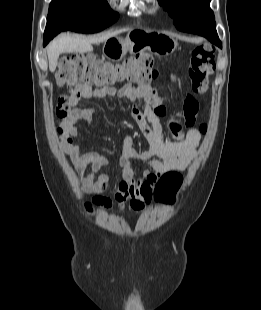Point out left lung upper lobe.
<instances>
[{
    "label": "left lung upper lobe",
    "instance_id": "5c2ea615",
    "mask_svg": "<svg viewBox=\"0 0 261 310\" xmlns=\"http://www.w3.org/2000/svg\"><path fill=\"white\" fill-rule=\"evenodd\" d=\"M169 15L174 18L177 29L192 32V28L203 21L215 23L211 0H158Z\"/></svg>",
    "mask_w": 261,
    "mask_h": 310
}]
</instances>
